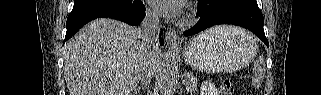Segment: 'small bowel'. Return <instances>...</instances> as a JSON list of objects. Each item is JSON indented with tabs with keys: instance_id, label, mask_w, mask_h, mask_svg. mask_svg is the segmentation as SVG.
Returning a JSON list of instances; mask_svg holds the SVG:
<instances>
[{
	"instance_id": "1",
	"label": "small bowel",
	"mask_w": 321,
	"mask_h": 95,
	"mask_svg": "<svg viewBox=\"0 0 321 95\" xmlns=\"http://www.w3.org/2000/svg\"><path fill=\"white\" fill-rule=\"evenodd\" d=\"M216 92L215 90L210 86H204L203 88V95H214Z\"/></svg>"
}]
</instances>
